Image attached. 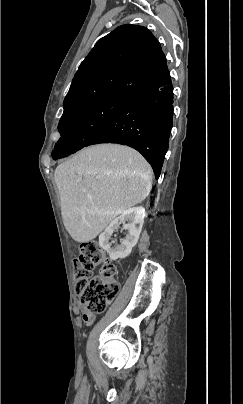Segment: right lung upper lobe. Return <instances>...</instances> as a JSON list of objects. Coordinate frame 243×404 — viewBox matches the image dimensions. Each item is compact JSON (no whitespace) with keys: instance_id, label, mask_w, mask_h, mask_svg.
<instances>
[{"instance_id":"right-lung-upper-lobe-1","label":"right lung upper lobe","mask_w":243,"mask_h":404,"mask_svg":"<svg viewBox=\"0 0 243 404\" xmlns=\"http://www.w3.org/2000/svg\"><path fill=\"white\" fill-rule=\"evenodd\" d=\"M160 43L145 27L122 25L101 38L76 72L64 112L107 98L129 99L169 78Z\"/></svg>"}]
</instances>
